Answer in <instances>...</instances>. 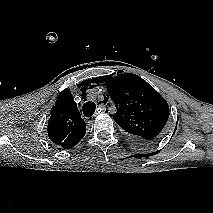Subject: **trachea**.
Segmentation results:
<instances>
[{
	"label": "trachea",
	"instance_id": "trachea-1",
	"mask_svg": "<svg viewBox=\"0 0 213 213\" xmlns=\"http://www.w3.org/2000/svg\"><path fill=\"white\" fill-rule=\"evenodd\" d=\"M95 109H96V105L94 102H86L82 107L83 114L86 117H91L94 114Z\"/></svg>",
	"mask_w": 213,
	"mask_h": 213
}]
</instances>
